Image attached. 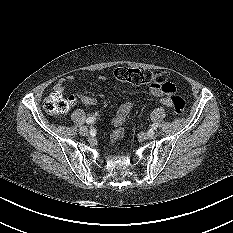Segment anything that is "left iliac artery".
Segmentation results:
<instances>
[{"instance_id": "left-iliac-artery-1", "label": "left iliac artery", "mask_w": 233, "mask_h": 233, "mask_svg": "<svg viewBox=\"0 0 233 233\" xmlns=\"http://www.w3.org/2000/svg\"><path fill=\"white\" fill-rule=\"evenodd\" d=\"M157 127H158V124H157V123H153V124H152V128H153V129H157Z\"/></svg>"}]
</instances>
